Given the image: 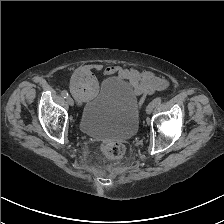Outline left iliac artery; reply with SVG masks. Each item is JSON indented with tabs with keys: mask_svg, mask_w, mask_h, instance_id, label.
<instances>
[{
	"mask_svg": "<svg viewBox=\"0 0 224 224\" xmlns=\"http://www.w3.org/2000/svg\"><path fill=\"white\" fill-rule=\"evenodd\" d=\"M161 101H162L161 98H156L154 99L153 103L155 104V106H158L161 104Z\"/></svg>",
	"mask_w": 224,
	"mask_h": 224,
	"instance_id": "left-iliac-artery-1",
	"label": "left iliac artery"
}]
</instances>
